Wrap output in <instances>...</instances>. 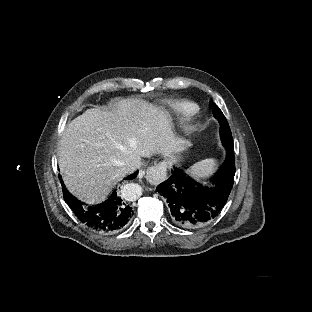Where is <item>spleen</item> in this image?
I'll return each instance as SVG.
<instances>
[{
    "instance_id": "3e777b00",
    "label": "spleen",
    "mask_w": 312,
    "mask_h": 312,
    "mask_svg": "<svg viewBox=\"0 0 312 312\" xmlns=\"http://www.w3.org/2000/svg\"><path fill=\"white\" fill-rule=\"evenodd\" d=\"M216 163L213 159H205L192 165L187 171L196 178L205 180L215 169Z\"/></svg>"
}]
</instances>
